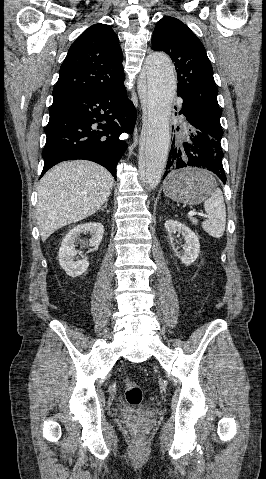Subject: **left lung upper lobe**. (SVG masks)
<instances>
[{
	"label": "left lung upper lobe",
	"mask_w": 266,
	"mask_h": 479,
	"mask_svg": "<svg viewBox=\"0 0 266 479\" xmlns=\"http://www.w3.org/2000/svg\"><path fill=\"white\" fill-rule=\"evenodd\" d=\"M152 49L166 52L174 61L178 96L205 122L213 136L221 140L222 111L217 102L218 89L201 41L180 20L166 16L154 29Z\"/></svg>",
	"instance_id": "5c2ea615"
}]
</instances>
